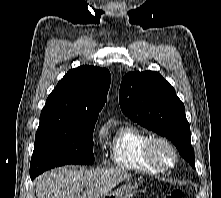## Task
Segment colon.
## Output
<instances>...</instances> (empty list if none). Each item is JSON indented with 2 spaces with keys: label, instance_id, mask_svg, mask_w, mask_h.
Returning a JSON list of instances; mask_svg holds the SVG:
<instances>
[{
  "label": "colon",
  "instance_id": "1",
  "mask_svg": "<svg viewBox=\"0 0 221 198\" xmlns=\"http://www.w3.org/2000/svg\"><path fill=\"white\" fill-rule=\"evenodd\" d=\"M164 198H185V195L180 189H174Z\"/></svg>",
  "mask_w": 221,
  "mask_h": 198
}]
</instances>
